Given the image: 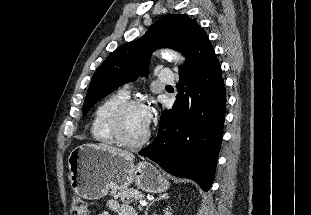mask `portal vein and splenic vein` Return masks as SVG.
<instances>
[{
	"mask_svg": "<svg viewBox=\"0 0 311 215\" xmlns=\"http://www.w3.org/2000/svg\"><path fill=\"white\" fill-rule=\"evenodd\" d=\"M139 203H140L141 206H146L147 205V202L145 200H140Z\"/></svg>",
	"mask_w": 311,
	"mask_h": 215,
	"instance_id": "18ae733b",
	"label": "portal vein and splenic vein"
}]
</instances>
